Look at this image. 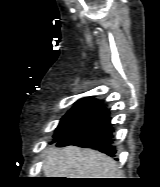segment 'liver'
<instances>
[{"mask_svg":"<svg viewBox=\"0 0 160 187\" xmlns=\"http://www.w3.org/2000/svg\"><path fill=\"white\" fill-rule=\"evenodd\" d=\"M43 171L47 178H118L115 160L93 149L68 146L44 153Z\"/></svg>","mask_w":160,"mask_h":187,"instance_id":"1","label":"liver"}]
</instances>
